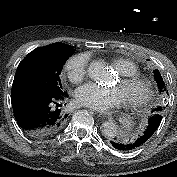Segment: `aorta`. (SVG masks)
I'll return each instance as SVG.
<instances>
[{"label":"aorta","instance_id":"obj_1","mask_svg":"<svg viewBox=\"0 0 177 177\" xmlns=\"http://www.w3.org/2000/svg\"><path fill=\"white\" fill-rule=\"evenodd\" d=\"M88 74L95 81L108 82L111 79V74L107 66L99 60L90 63ZM102 134L107 138H114L117 134L116 124L112 121L104 122L102 124Z\"/></svg>","mask_w":177,"mask_h":177}]
</instances>
